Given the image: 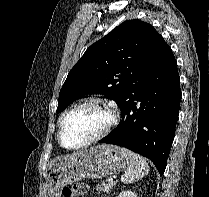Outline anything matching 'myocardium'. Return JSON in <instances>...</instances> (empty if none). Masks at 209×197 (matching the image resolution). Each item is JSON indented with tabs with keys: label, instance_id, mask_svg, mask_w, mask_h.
<instances>
[{
	"label": "myocardium",
	"instance_id": "obj_1",
	"mask_svg": "<svg viewBox=\"0 0 209 197\" xmlns=\"http://www.w3.org/2000/svg\"><path fill=\"white\" fill-rule=\"evenodd\" d=\"M88 105H93V106L103 108L104 110L108 112L109 120L106 126L98 134L88 139L87 141L77 146H72V147L66 146L62 141V130H63V126H64L66 119L68 118V116H70L73 112H75L79 108L88 106ZM117 122H118V108L113 102L107 99L99 98V97L85 99L77 103L75 106H73L71 109H69L66 113L63 114L60 120L58 133H57L58 142L63 148L68 149V150H77V149L85 148L105 138L112 131V129L116 126Z\"/></svg>",
	"mask_w": 209,
	"mask_h": 197
}]
</instances>
